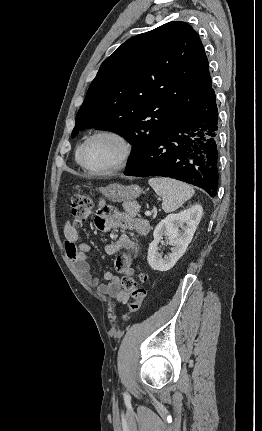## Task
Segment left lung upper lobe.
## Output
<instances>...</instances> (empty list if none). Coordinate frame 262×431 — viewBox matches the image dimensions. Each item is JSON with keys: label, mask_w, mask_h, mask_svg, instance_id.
<instances>
[{"label": "left lung upper lobe", "mask_w": 262, "mask_h": 431, "mask_svg": "<svg viewBox=\"0 0 262 431\" xmlns=\"http://www.w3.org/2000/svg\"><path fill=\"white\" fill-rule=\"evenodd\" d=\"M198 34L169 22L124 42L100 66L76 115L85 128L109 130L132 144L129 167L211 90Z\"/></svg>", "instance_id": "obj_1"}]
</instances>
